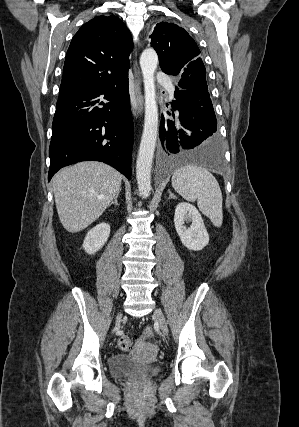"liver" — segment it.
Masks as SVG:
<instances>
[{"mask_svg":"<svg viewBox=\"0 0 299 427\" xmlns=\"http://www.w3.org/2000/svg\"><path fill=\"white\" fill-rule=\"evenodd\" d=\"M122 175L111 166L80 162L52 179L59 220L68 232H79L99 218L120 191Z\"/></svg>","mask_w":299,"mask_h":427,"instance_id":"liver-1","label":"liver"}]
</instances>
